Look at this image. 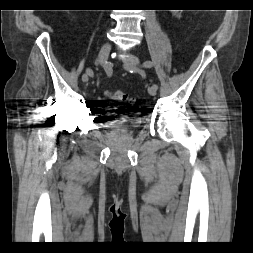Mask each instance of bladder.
<instances>
[{
	"instance_id": "1",
	"label": "bladder",
	"mask_w": 253,
	"mask_h": 253,
	"mask_svg": "<svg viewBox=\"0 0 253 253\" xmlns=\"http://www.w3.org/2000/svg\"><path fill=\"white\" fill-rule=\"evenodd\" d=\"M141 122V118L139 117L124 115L121 120L106 122L101 127L123 132H132L141 125Z\"/></svg>"
}]
</instances>
